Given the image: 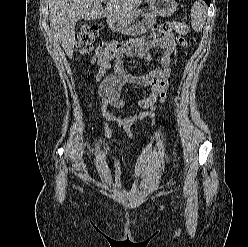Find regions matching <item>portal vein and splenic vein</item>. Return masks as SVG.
Returning <instances> with one entry per match:
<instances>
[{"instance_id": "1", "label": "portal vein and splenic vein", "mask_w": 248, "mask_h": 247, "mask_svg": "<svg viewBox=\"0 0 248 247\" xmlns=\"http://www.w3.org/2000/svg\"><path fill=\"white\" fill-rule=\"evenodd\" d=\"M107 0H102V2H106Z\"/></svg>"}]
</instances>
